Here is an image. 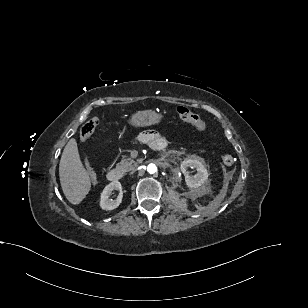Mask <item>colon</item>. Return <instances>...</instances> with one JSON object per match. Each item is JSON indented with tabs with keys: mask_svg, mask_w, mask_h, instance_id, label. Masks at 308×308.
<instances>
[{
	"mask_svg": "<svg viewBox=\"0 0 308 308\" xmlns=\"http://www.w3.org/2000/svg\"><path fill=\"white\" fill-rule=\"evenodd\" d=\"M176 112L179 119H181L182 121L192 124L199 130H206L207 126L206 123L202 120V118L199 115L191 112L187 107L178 106ZM97 125H98L97 118H91L87 122H85L80 128V139L82 141L88 140L93 135ZM222 160L226 166H231L235 162V158L231 154H225ZM87 171L91 183L95 185L97 181L96 173L91 167L89 162H87Z\"/></svg>",
	"mask_w": 308,
	"mask_h": 308,
	"instance_id": "colon-1",
	"label": "colon"
}]
</instances>
